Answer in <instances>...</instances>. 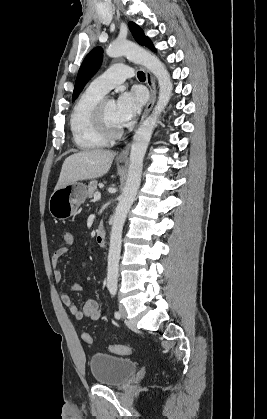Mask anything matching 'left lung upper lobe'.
<instances>
[{"label":"left lung upper lobe","instance_id":"5c2ea615","mask_svg":"<svg viewBox=\"0 0 267 419\" xmlns=\"http://www.w3.org/2000/svg\"><path fill=\"white\" fill-rule=\"evenodd\" d=\"M129 28L135 38V40L142 46H146L151 50L155 51L152 42L148 37L144 35L143 30L134 22H129ZM103 56V50L101 47L94 48L84 59L80 66L74 92L73 100L78 96L79 92L84 88L88 80L98 71Z\"/></svg>","mask_w":267,"mask_h":419}]
</instances>
